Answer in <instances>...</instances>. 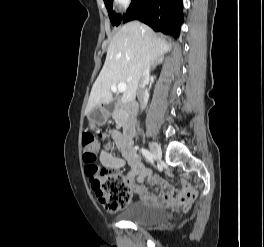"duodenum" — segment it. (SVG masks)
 <instances>
[{
    "instance_id": "410a0bca",
    "label": "duodenum",
    "mask_w": 264,
    "mask_h": 247,
    "mask_svg": "<svg viewBox=\"0 0 264 247\" xmlns=\"http://www.w3.org/2000/svg\"><path fill=\"white\" fill-rule=\"evenodd\" d=\"M137 111V105L132 103L128 107V117L122 121V129L125 135L133 136L136 132L134 115Z\"/></svg>"
}]
</instances>
